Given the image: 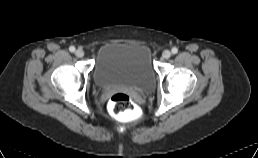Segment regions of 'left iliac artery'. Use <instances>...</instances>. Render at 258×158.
<instances>
[{"mask_svg": "<svg viewBox=\"0 0 258 158\" xmlns=\"http://www.w3.org/2000/svg\"><path fill=\"white\" fill-rule=\"evenodd\" d=\"M171 52H172L173 54H176V53L178 52V49H177L176 47H173L172 50H171Z\"/></svg>", "mask_w": 258, "mask_h": 158, "instance_id": "obj_1", "label": "left iliac artery"}]
</instances>
